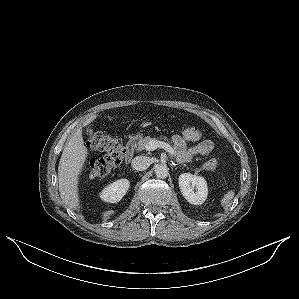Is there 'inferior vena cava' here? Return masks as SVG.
Returning a JSON list of instances; mask_svg holds the SVG:
<instances>
[{
  "label": "inferior vena cava",
  "instance_id": "1",
  "mask_svg": "<svg viewBox=\"0 0 299 299\" xmlns=\"http://www.w3.org/2000/svg\"><path fill=\"white\" fill-rule=\"evenodd\" d=\"M134 170L144 171L150 166V161L147 156H136L131 163Z\"/></svg>",
  "mask_w": 299,
  "mask_h": 299
}]
</instances>
